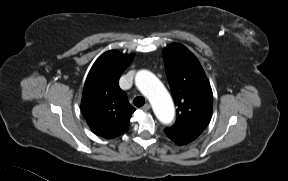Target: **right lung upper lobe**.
<instances>
[{
  "instance_id": "right-lung-upper-lobe-1",
  "label": "right lung upper lobe",
  "mask_w": 288,
  "mask_h": 181,
  "mask_svg": "<svg viewBox=\"0 0 288 181\" xmlns=\"http://www.w3.org/2000/svg\"><path fill=\"white\" fill-rule=\"evenodd\" d=\"M133 58V54L107 51L96 60L87 76L81 110L91 130L104 138L122 135L135 111L118 85Z\"/></svg>"
}]
</instances>
